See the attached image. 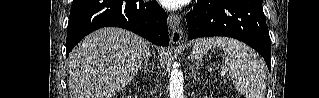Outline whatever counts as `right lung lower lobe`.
Returning a JSON list of instances; mask_svg holds the SVG:
<instances>
[{"mask_svg":"<svg viewBox=\"0 0 319 98\" xmlns=\"http://www.w3.org/2000/svg\"><path fill=\"white\" fill-rule=\"evenodd\" d=\"M102 27L124 28L157 45H169L166 13L156 0H73L66 57L86 35Z\"/></svg>","mask_w":319,"mask_h":98,"instance_id":"obj_1","label":"right lung lower lobe"}]
</instances>
